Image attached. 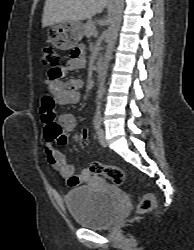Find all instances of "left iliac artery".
<instances>
[{
    "mask_svg": "<svg viewBox=\"0 0 194 250\" xmlns=\"http://www.w3.org/2000/svg\"><path fill=\"white\" fill-rule=\"evenodd\" d=\"M101 124H102V117H101V113L98 112V113H96L95 118H94L95 129L98 130L100 128Z\"/></svg>",
    "mask_w": 194,
    "mask_h": 250,
    "instance_id": "obj_1",
    "label": "left iliac artery"
}]
</instances>
